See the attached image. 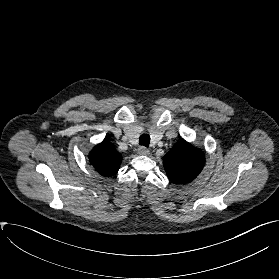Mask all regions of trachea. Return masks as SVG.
Returning a JSON list of instances; mask_svg holds the SVG:
<instances>
[{
  "label": "trachea",
  "mask_w": 279,
  "mask_h": 279,
  "mask_svg": "<svg viewBox=\"0 0 279 279\" xmlns=\"http://www.w3.org/2000/svg\"><path fill=\"white\" fill-rule=\"evenodd\" d=\"M150 143V136L148 134H142L139 138V144L148 147Z\"/></svg>",
  "instance_id": "obj_1"
}]
</instances>
